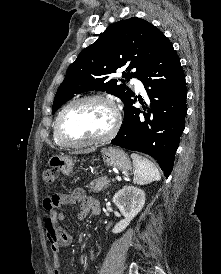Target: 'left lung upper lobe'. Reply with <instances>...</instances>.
<instances>
[{
	"instance_id": "5c2ea615",
	"label": "left lung upper lobe",
	"mask_w": 221,
	"mask_h": 274,
	"mask_svg": "<svg viewBox=\"0 0 221 274\" xmlns=\"http://www.w3.org/2000/svg\"><path fill=\"white\" fill-rule=\"evenodd\" d=\"M169 44L165 35L146 20L132 17L111 24L69 66L54 98L52 113L76 94L91 90L106 91L126 105L134 92L125 84H118L111 74L123 68L122 77L127 81L139 78Z\"/></svg>"
}]
</instances>
